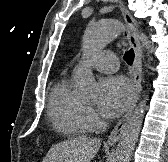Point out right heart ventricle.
<instances>
[{"label":"right heart ventricle","mask_w":168,"mask_h":162,"mask_svg":"<svg viewBox=\"0 0 168 162\" xmlns=\"http://www.w3.org/2000/svg\"><path fill=\"white\" fill-rule=\"evenodd\" d=\"M85 111L86 106L74 95L68 77H59L48 103V112L53 125L68 135H84L90 130Z\"/></svg>","instance_id":"obj_1"}]
</instances>
